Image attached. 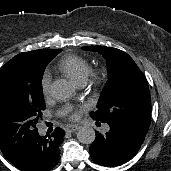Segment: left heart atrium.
Masks as SVG:
<instances>
[{"label":"left heart atrium","mask_w":171,"mask_h":171,"mask_svg":"<svg viewBox=\"0 0 171 171\" xmlns=\"http://www.w3.org/2000/svg\"><path fill=\"white\" fill-rule=\"evenodd\" d=\"M70 117H71L72 119H77V118L79 117V114H78L77 111H73V112L71 113Z\"/></svg>","instance_id":"left-heart-atrium-1"}]
</instances>
